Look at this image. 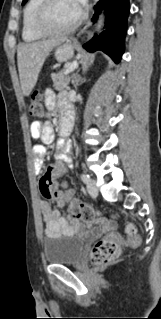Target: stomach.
Masks as SVG:
<instances>
[{
	"label": "stomach",
	"mask_w": 161,
	"mask_h": 319,
	"mask_svg": "<svg viewBox=\"0 0 161 319\" xmlns=\"http://www.w3.org/2000/svg\"><path fill=\"white\" fill-rule=\"evenodd\" d=\"M74 47L71 43H65L60 45L55 51V57L58 61L63 62L67 61L73 56Z\"/></svg>",
	"instance_id": "0dacf381"
}]
</instances>
